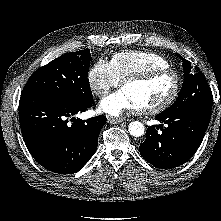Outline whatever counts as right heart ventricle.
Instances as JSON below:
<instances>
[{"mask_svg": "<svg viewBox=\"0 0 221 221\" xmlns=\"http://www.w3.org/2000/svg\"><path fill=\"white\" fill-rule=\"evenodd\" d=\"M109 63L120 82L147 70L170 67V62L165 57L155 52L140 50L117 52L113 54Z\"/></svg>", "mask_w": 221, "mask_h": 221, "instance_id": "1", "label": "right heart ventricle"}]
</instances>
